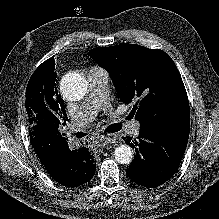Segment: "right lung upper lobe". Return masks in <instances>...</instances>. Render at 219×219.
<instances>
[{"label":"right lung upper lobe","mask_w":219,"mask_h":219,"mask_svg":"<svg viewBox=\"0 0 219 219\" xmlns=\"http://www.w3.org/2000/svg\"><path fill=\"white\" fill-rule=\"evenodd\" d=\"M53 64H54V58H50V59H48V60H46L44 63H42L39 67H42V66H44V67H53ZM55 66V65H54ZM38 67V68H39ZM52 69V68H51ZM33 76H35V74L33 75ZM55 79H56V73L54 72V70H49L48 72H47V75L45 76V78H44V82H45V84L50 88V89H53L54 91H55V93H56V96L61 100V101H63L62 100V98H61V96L58 94V91H57V88H55L54 89V87H55Z\"/></svg>","instance_id":"cb5924a9"}]
</instances>
